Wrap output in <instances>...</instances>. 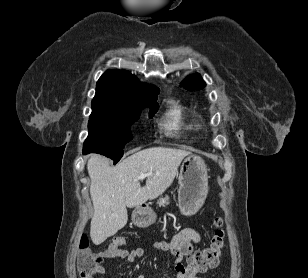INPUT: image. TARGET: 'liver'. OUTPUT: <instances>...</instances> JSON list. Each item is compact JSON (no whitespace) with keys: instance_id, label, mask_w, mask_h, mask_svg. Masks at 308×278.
Wrapping results in <instances>:
<instances>
[{"instance_id":"obj_1","label":"liver","mask_w":308,"mask_h":278,"mask_svg":"<svg viewBox=\"0 0 308 278\" xmlns=\"http://www.w3.org/2000/svg\"><path fill=\"white\" fill-rule=\"evenodd\" d=\"M181 149L152 147L138 151L117 166L99 154L88 159L90 195L94 207L90 236L95 245L103 243L122 229L128 220L126 207H136L160 196L173 182L184 157ZM141 187L139 175L147 174Z\"/></svg>"}]
</instances>
